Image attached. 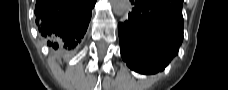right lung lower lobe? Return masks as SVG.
Listing matches in <instances>:
<instances>
[{
  "mask_svg": "<svg viewBox=\"0 0 228 90\" xmlns=\"http://www.w3.org/2000/svg\"><path fill=\"white\" fill-rule=\"evenodd\" d=\"M96 0H37L36 24L48 46L66 54L83 38Z\"/></svg>",
  "mask_w": 228,
  "mask_h": 90,
  "instance_id": "98d812e1",
  "label": "right lung lower lobe"
}]
</instances>
